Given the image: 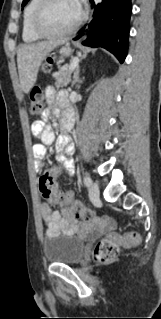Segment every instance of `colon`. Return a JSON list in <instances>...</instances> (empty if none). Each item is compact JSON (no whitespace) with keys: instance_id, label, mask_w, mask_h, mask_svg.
Wrapping results in <instances>:
<instances>
[{"instance_id":"obj_1","label":"colon","mask_w":161,"mask_h":319,"mask_svg":"<svg viewBox=\"0 0 161 319\" xmlns=\"http://www.w3.org/2000/svg\"><path fill=\"white\" fill-rule=\"evenodd\" d=\"M51 63L49 62L47 66ZM43 94L39 86H34L30 92V114L38 116L43 114ZM54 181L51 174L46 173L40 181L41 195L45 200L59 203L64 198V193L54 189ZM67 214L69 217L79 218L89 221L94 218L93 213L88 209L85 203L77 200L71 201L67 206ZM140 244V236L130 231L126 234L111 233L107 237L101 239L95 246L94 257L100 262H110L114 260L119 251L123 247H134Z\"/></svg>"}]
</instances>
